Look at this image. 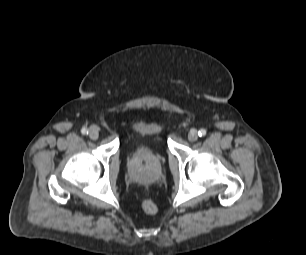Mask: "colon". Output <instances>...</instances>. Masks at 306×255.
<instances>
[{"label": "colon", "instance_id": "obj_1", "mask_svg": "<svg viewBox=\"0 0 306 255\" xmlns=\"http://www.w3.org/2000/svg\"><path fill=\"white\" fill-rule=\"evenodd\" d=\"M141 206H142V209L144 210V212L147 213V214L152 215V214H155L157 212L156 204L150 199H144L142 201Z\"/></svg>", "mask_w": 306, "mask_h": 255}]
</instances>
